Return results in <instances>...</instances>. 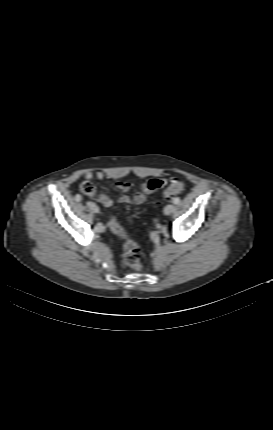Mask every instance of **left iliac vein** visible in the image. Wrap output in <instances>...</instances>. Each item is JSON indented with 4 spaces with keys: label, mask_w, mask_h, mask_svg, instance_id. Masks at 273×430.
<instances>
[{
    "label": "left iliac vein",
    "mask_w": 273,
    "mask_h": 430,
    "mask_svg": "<svg viewBox=\"0 0 273 430\" xmlns=\"http://www.w3.org/2000/svg\"><path fill=\"white\" fill-rule=\"evenodd\" d=\"M174 211V205L169 204L164 208V214L170 215Z\"/></svg>",
    "instance_id": "obj_1"
}]
</instances>
